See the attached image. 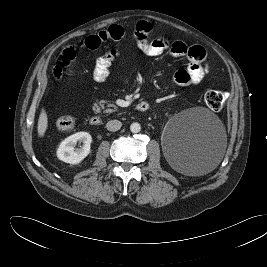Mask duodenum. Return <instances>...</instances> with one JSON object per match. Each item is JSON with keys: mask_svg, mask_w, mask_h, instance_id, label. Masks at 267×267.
Wrapping results in <instances>:
<instances>
[{"mask_svg": "<svg viewBox=\"0 0 267 267\" xmlns=\"http://www.w3.org/2000/svg\"><path fill=\"white\" fill-rule=\"evenodd\" d=\"M150 105L148 102L146 101H141L139 103H137L136 105V110L137 111H147L149 109ZM90 124L93 126H99L102 124V119L99 116H93L90 118Z\"/></svg>", "mask_w": 267, "mask_h": 267, "instance_id": "obj_1", "label": "duodenum"}]
</instances>
